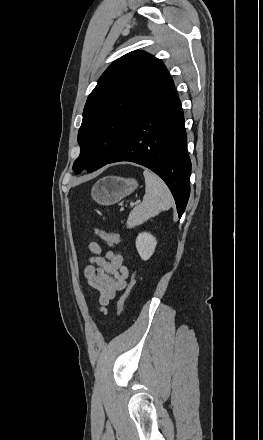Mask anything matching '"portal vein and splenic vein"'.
I'll return each mask as SVG.
<instances>
[{
    "mask_svg": "<svg viewBox=\"0 0 263 440\" xmlns=\"http://www.w3.org/2000/svg\"><path fill=\"white\" fill-rule=\"evenodd\" d=\"M140 202H141L140 200H137L135 203H131L130 205L131 206L138 205Z\"/></svg>",
    "mask_w": 263,
    "mask_h": 440,
    "instance_id": "portal-vein-and-splenic-vein-1",
    "label": "portal vein and splenic vein"
}]
</instances>
